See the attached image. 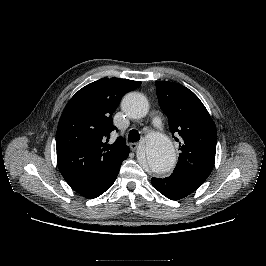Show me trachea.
<instances>
[{
	"label": "trachea",
	"instance_id": "3493384b",
	"mask_svg": "<svg viewBox=\"0 0 266 266\" xmlns=\"http://www.w3.org/2000/svg\"><path fill=\"white\" fill-rule=\"evenodd\" d=\"M130 142H137L140 140V134L136 130H131L128 135Z\"/></svg>",
	"mask_w": 266,
	"mask_h": 266
}]
</instances>
